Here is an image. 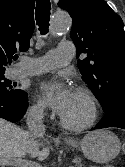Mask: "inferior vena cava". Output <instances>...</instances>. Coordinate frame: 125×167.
I'll use <instances>...</instances> for the list:
<instances>
[{
  "label": "inferior vena cava",
  "mask_w": 125,
  "mask_h": 167,
  "mask_svg": "<svg viewBox=\"0 0 125 167\" xmlns=\"http://www.w3.org/2000/svg\"><path fill=\"white\" fill-rule=\"evenodd\" d=\"M26 124L29 132L34 135L42 136L45 133V126L43 124V109H30L27 114Z\"/></svg>",
  "instance_id": "inferior-vena-cava-1"
}]
</instances>
